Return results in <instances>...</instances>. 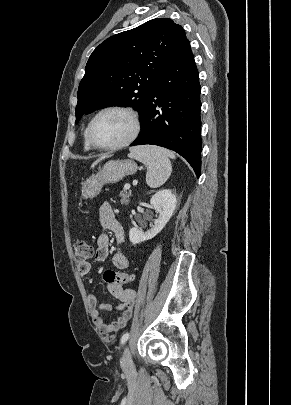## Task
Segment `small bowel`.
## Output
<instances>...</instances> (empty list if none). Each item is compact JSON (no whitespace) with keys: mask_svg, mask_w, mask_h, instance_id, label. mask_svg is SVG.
<instances>
[{"mask_svg":"<svg viewBox=\"0 0 291 405\" xmlns=\"http://www.w3.org/2000/svg\"><path fill=\"white\" fill-rule=\"evenodd\" d=\"M99 220L104 229L110 230L115 234L118 242L124 240L123 227L117 220L109 203H104L100 207ZM109 243V236L107 234L102 233L99 235L95 253L96 262H103L107 259L109 255ZM112 263L120 270H125L129 267V259L122 252H116L113 255ZM90 270L91 264L88 262L78 265V272L82 276L88 275ZM107 288L110 294L121 302V304L117 306V309L121 311V315L111 323H105L100 312L110 311L112 310V306L106 303H98L97 297L94 294L88 295L91 319L97 330L104 335L116 332L126 326L132 317L133 306L136 298V291L124 288L123 285H116L107 282Z\"/></svg>","mask_w":291,"mask_h":405,"instance_id":"1","label":"small bowel"}]
</instances>
